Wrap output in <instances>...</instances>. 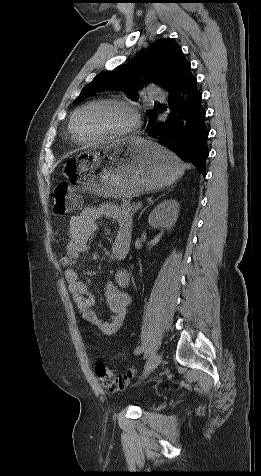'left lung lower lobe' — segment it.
I'll list each match as a JSON object with an SVG mask.
<instances>
[{"label": "left lung lower lobe", "mask_w": 261, "mask_h": 476, "mask_svg": "<svg viewBox=\"0 0 261 476\" xmlns=\"http://www.w3.org/2000/svg\"><path fill=\"white\" fill-rule=\"evenodd\" d=\"M169 110L165 121L155 118L147 128L149 136L166 149L176 153L185 162L192 163L203 176L209 155L207 139L209 131L205 124L202 95L197 88V79L189 66L169 93Z\"/></svg>", "instance_id": "0a47b994"}]
</instances>
